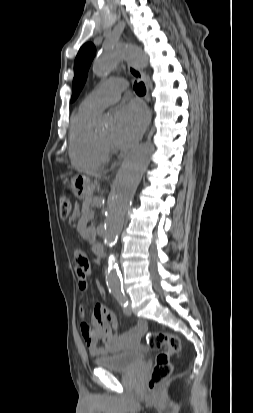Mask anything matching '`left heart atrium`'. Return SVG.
Wrapping results in <instances>:
<instances>
[{"label": "left heart atrium", "mask_w": 253, "mask_h": 413, "mask_svg": "<svg viewBox=\"0 0 253 413\" xmlns=\"http://www.w3.org/2000/svg\"><path fill=\"white\" fill-rule=\"evenodd\" d=\"M146 126V114L139 104L121 107L116 114L114 141L120 147H128L142 135Z\"/></svg>", "instance_id": "left-heart-atrium-1"}]
</instances>
